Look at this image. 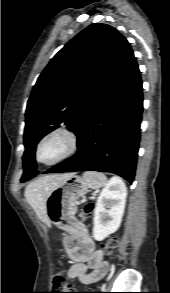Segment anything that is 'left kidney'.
Listing matches in <instances>:
<instances>
[{
  "instance_id": "1",
  "label": "left kidney",
  "mask_w": 170,
  "mask_h": 293,
  "mask_svg": "<svg viewBox=\"0 0 170 293\" xmlns=\"http://www.w3.org/2000/svg\"><path fill=\"white\" fill-rule=\"evenodd\" d=\"M127 188L124 182L113 177L101 191L93 218V238L104 240L116 232L124 214Z\"/></svg>"
}]
</instances>
